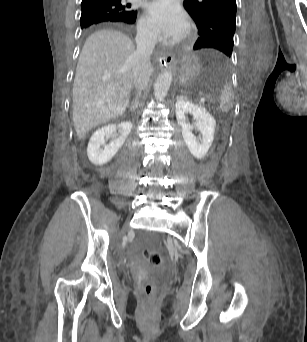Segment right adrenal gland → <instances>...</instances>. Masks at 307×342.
<instances>
[{"label": "right adrenal gland", "mask_w": 307, "mask_h": 342, "mask_svg": "<svg viewBox=\"0 0 307 342\" xmlns=\"http://www.w3.org/2000/svg\"><path fill=\"white\" fill-rule=\"evenodd\" d=\"M130 110H133L132 106H131Z\"/></svg>", "instance_id": "1"}]
</instances>
